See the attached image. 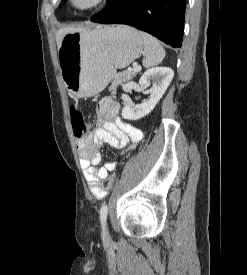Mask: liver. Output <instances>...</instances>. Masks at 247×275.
<instances>
[{"label":"liver","instance_id":"liver-1","mask_svg":"<svg viewBox=\"0 0 247 275\" xmlns=\"http://www.w3.org/2000/svg\"><path fill=\"white\" fill-rule=\"evenodd\" d=\"M83 28H62L59 29L57 34H56V41H57V47L58 50L61 46V42H62V38L68 34V33H72V32H77V31H83Z\"/></svg>","mask_w":247,"mask_h":275}]
</instances>
